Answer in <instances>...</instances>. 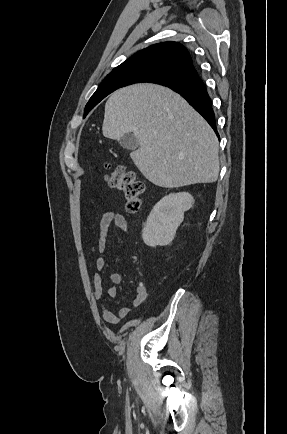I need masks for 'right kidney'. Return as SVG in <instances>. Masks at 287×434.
<instances>
[{
    "label": "right kidney",
    "instance_id": "right-kidney-1",
    "mask_svg": "<svg viewBox=\"0 0 287 434\" xmlns=\"http://www.w3.org/2000/svg\"><path fill=\"white\" fill-rule=\"evenodd\" d=\"M194 199L188 192L172 193L162 198L152 209L142 230L144 243L150 247L166 246L172 242Z\"/></svg>",
    "mask_w": 287,
    "mask_h": 434
}]
</instances>
